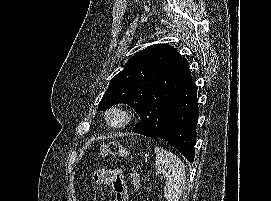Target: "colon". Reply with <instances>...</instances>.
I'll use <instances>...</instances> for the list:
<instances>
[{"instance_id":"5ec220e1","label":"colon","mask_w":271,"mask_h":201,"mask_svg":"<svg viewBox=\"0 0 271 201\" xmlns=\"http://www.w3.org/2000/svg\"><path fill=\"white\" fill-rule=\"evenodd\" d=\"M100 155L102 157L120 156V157L128 158L129 152L126 149V147L120 142L112 141V142L102 145L100 149ZM131 175H132L133 183L137 185L139 182V175L134 168H131Z\"/></svg>"}]
</instances>
